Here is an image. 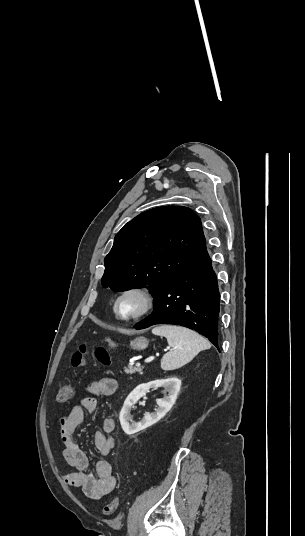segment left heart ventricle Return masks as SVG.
Here are the masks:
<instances>
[{
  "label": "left heart ventricle",
  "instance_id": "b2bd125f",
  "mask_svg": "<svg viewBox=\"0 0 305 536\" xmlns=\"http://www.w3.org/2000/svg\"><path fill=\"white\" fill-rule=\"evenodd\" d=\"M144 299L138 293L124 295L118 302V312L122 317H132L142 311Z\"/></svg>",
  "mask_w": 305,
  "mask_h": 536
}]
</instances>
